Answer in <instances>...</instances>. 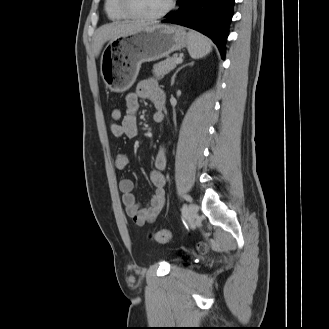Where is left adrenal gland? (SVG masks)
Wrapping results in <instances>:
<instances>
[{
	"instance_id": "a2214340",
	"label": "left adrenal gland",
	"mask_w": 329,
	"mask_h": 329,
	"mask_svg": "<svg viewBox=\"0 0 329 329\" xmlns=\"http://www.w3.org/2000/svg\"><path fill=\"white\" fill-rule=\"evenodd\" d=\"M188 65L193 66V65H194V62H191V63H188V64H184V65H182L181 67H179V68L176 70V72L173 74V76H172V78H171V86L174 84L175 77H176L177 73H178L181 69H183L184 67H186V66H188Z\"/></svg>"
}]
</instances>
